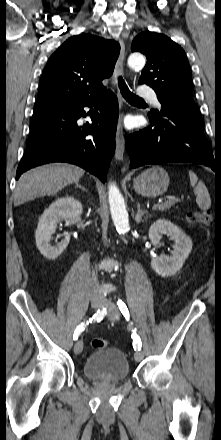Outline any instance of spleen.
I'll return each instance as SVG.
<instances>
[{"instance_id":"spleen-1","label":"spleen","mask_w":221,"mask_h":440,"mask_svg":"<svg viewBox=\"0 0 221 440\" xmlns=\"http://www.w3.org/2000/svg\"><path fill=\"white\" fill-rule=\"evenodd\" d=\"M191 186L194 188L196 195V203L201 210H208L211 206V199L207 187L202 181H198L197 175L193 171H189Z\"/></svg>"}]
</instances>
